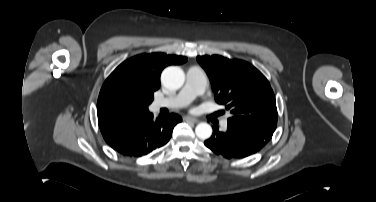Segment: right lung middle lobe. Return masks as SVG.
<instances>
[{"instance_id": "right-lung-middle-lobe-1", "label": "right lung middle lobe", "mask_w": 376, "mask_h": 202, "mask_svg": "<svg viewBox=\"0 0 376 202\" xmlns=\"http://www.w3.org/2000/svg\"><path fill=\"white\" fill-rule=\"evenodd\" d=\"M120 104L138 106L145 111L148 110V105L153 101V93H143L134 89H125L117 94Z\"/></svg>"}]
</instances>
